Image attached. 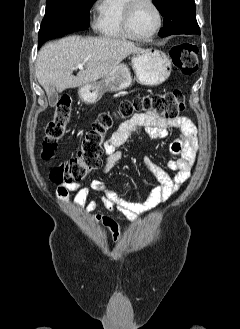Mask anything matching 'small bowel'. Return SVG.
I'll return each instance as SVG.
<instances>
[{"mask_svg": "<svg viewBox=\"0 0 240 329\" xmlns=\"http://www.w3.org/2000/svg\"><path fill=\"white\" fill-rule=\"evenodd\" d=\"M172 129L179 133V137L170 143L172 158L167 162V168L173 174H169L149 158H144V163L157 180L144 201L138 202L131 197L120 196L101 180H93L89 184H61L57 187L58 197L64 202H70L69 195L74 192V204L85 206L87 212L111 232L113 241L119 242L121 231L116 219L94 211L103 207L111 213L121 212L128 220L134 221L138 215L147 213L172 197L190 176L198 149L197 128L187 117L165 119L152 112H142L122 121L104 144L101 172L106 174L123 159L125 153L120 147L132 134L142 131L151 139H164ZM91 193L100 194V199L87 201Z\"/></svg>", "mask_w": 240, "mask_h": 329, "instance_id": "c3829d8e", "label": "small bowel"}]
</instances>
